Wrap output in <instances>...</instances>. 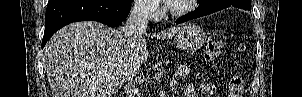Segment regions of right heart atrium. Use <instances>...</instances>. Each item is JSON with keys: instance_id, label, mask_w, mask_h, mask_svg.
Returning <instances> with one entry per match:
<instances>
[{"instance_id": "obj_1", "label": "right heart atrium", "mask_w": 302, "mask_h": 97, "mask_svg": "<svg viewBox=\"0 0 302 97\" xmlns=\"http://www.w3.org/2000/svg\"><path fill=\"white\" fill-rule=\"evenodd\" d=\"M137 10L141 15L150 19L158 17V4L155 1H139Z\"/></svg>"}]
</instances>
